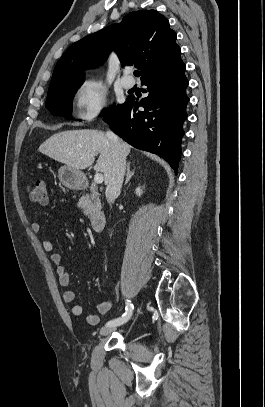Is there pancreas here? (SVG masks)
Returning <instances> with one entry per match:
<instances>
[{
  "label": "pancreas",
  "instance_id": "pancreas-1",
  "mask_svg": "<svg viewBox=\"0 0 265 407\" xmlns=\"http://www.w3.org/2000/svg\"><path fill=\"white\" fill-rule=\"evenodd\" d=\"M90 191L91 194L83 196L78 203V206L83 210L85 215H88L94 208H101V201L95 183H92Z\"/></svg>",
  "mask_w": 265,
  "mask_h": 407
}]
</instances>
